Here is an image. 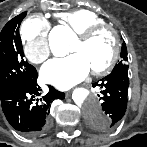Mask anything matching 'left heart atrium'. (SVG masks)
Segmentation results:
<instances>
[{
    "label": "left heart atrium",
    "mask_w": 147,
    "mask_h": 147,
    "mask_svg": "<svg viewBox=\"0 0 147 147\" xmlns=\"http://www.w3.org/2000/svg\"><path fill=\"white\" fill-rule=\"evenodd\" d=\"M90 70L81 54H72L47 62L41 69V77L59 89H68L85 79Z\"/></svg>",
    "instance_id": "39dd6f15"
}]
</instances>
